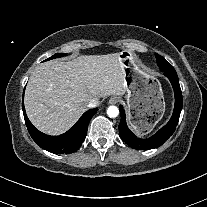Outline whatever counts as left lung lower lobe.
Instances as JSON below:
<instances>
[{
	"instance_id": "left-lung-lower-lobe-1",
	"label": "left lung lower lobe",
	"mask_w": 207,
	"mask_h": 207,
	"mask_svg": "<svg viewBox=\"0 0 207 207\" xmlns=\"http://www.w3.org/2000/svg\"><path fill=\"white\" fill-rule=\"evenodd\" d=\"M164 75L170 80L175 96V107L169 122L163 126L158 132L147 139L137 138L128 128L126 124V116L123 106H119L121 121L119 124V135L121 139L130 147L138 150L153 149L163 144L174 133L179 121L180 113L182 110V92L179 85V79L176 71L167 69L163 71Z\"/></svg>"
}]
</instances>
